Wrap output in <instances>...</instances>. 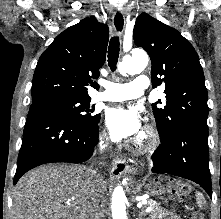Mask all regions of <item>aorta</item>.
Wrapping results in <instances>:
<instances>
[{"label":"aorta","instance_id":"1","mask_svg":"<svg viewBox=\"0 0 221 219\" xmlns=\"http://www.w3.org/2000/svg\"><path fill=\"white\" fill-rule=\"evenodd\" d=\"M148 65V56L145 52L134 50L131 55L123 57L118 64V71L121 75H134L140 73ZM127 194L122 186L115 189L112 198V214L113 219H127L126 218V201Z\"/></svg>","mask_w":221,"mask_h":219}]
</instances>
